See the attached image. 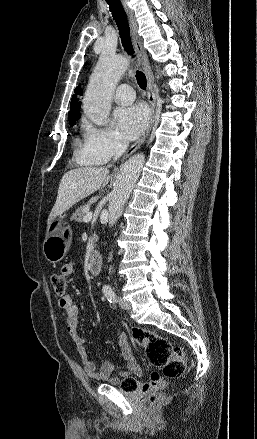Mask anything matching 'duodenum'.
Wrapping results in <instances>:
<instances>
[{
    "label": "duodenum",
    "instance_id": "obj_1",
    "mask_svg": "<svg viewBox=\"0 0 257 439\" xmlns=\"http://www.w3.org/2000/svg\"><path fill=\"white\" fill-rule=\"evenodd\" d=\"M102 265H103V259H102L101 254L97 250H94L91 253L90 260H89L90 272L92 274L99 273L101 268H102Z\"/></svg>",
    "mask_w": 257,
    "mask_h": 439
}]
</instances>
